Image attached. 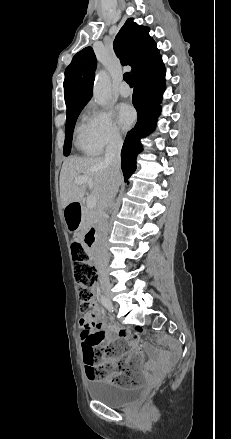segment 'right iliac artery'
<instances>
[{"label": "right iliac artery", "instance_id": "obj_1", "mask_svg": "<svg viewBox=\"0 0 231 439\" xmlns=\"http://www.w3.org/2000/svg\"><path fill=\"white\" fill-rule=\"evenodd\" d=\"M101 302L108 310H112V304L107 297L102 296Z\"/></svg>", "mask_w": 231, "mask_h": 439}]
</instances>
